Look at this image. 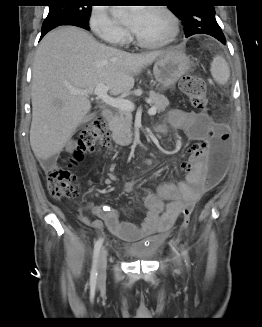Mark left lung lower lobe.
<instances>
[{"mask_svg":"<svg viewBox=\"0 0 262 327\" xmlns=\"http://www.w3.org/2000/svg\"><path fill=\"white\" fill-rule=\"evenodd\" d=\"M203 33L205 34V32L200 31V32H195L194 34H203ZM194 34L186 35V37H189ZM208 35H211V36L215 37L216 39H218L221 43L226 44V39H225V36H224L222 30H220L219 32L217 30L214 32H210V33H208Z\"/></svg>","mask_w":262,"mask_h":327,"instance_id":"0a47b994","label":"left lung lower lobe"}]
</instances>
